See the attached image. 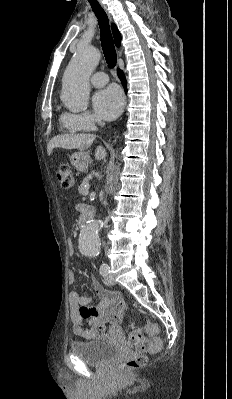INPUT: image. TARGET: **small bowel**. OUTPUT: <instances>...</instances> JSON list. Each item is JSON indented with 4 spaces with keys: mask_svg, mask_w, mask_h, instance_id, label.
Wrapping results in <instances>:
<instances>
[{
    "mask_svg": "<svg viewBox=\"0 0 232 399\" xmlns=\"http://www.w3.org/2000/svg\"><path fill=\"white\" fill-rule=\"evenodd\" d=\"M70 257H75L76 248L73 241H68ZM74 274L69 276V284L75 285ZM91 290L101 301L91 304L89 297L80 296L77 292L69 293V317L72 320L71 330L80 335L91 336L95 341L108 339L121 329L119 316L127 313V308L116 301L113 291L103 289L96 279L92 280ZM110 325L106 326V322Z\"/></svg>",
    "mask_w": 232,
    "mask_h": 399,
    "instance_id": "small-bowel-1",
    "label": "small bowel"
}]
</instances>
